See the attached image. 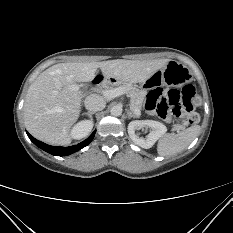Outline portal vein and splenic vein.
<instances>
[{
	"label": "portal vein and splenic vein",
	"instance_id": "obj_1",
	"mask_svg": "<svg viewBox=\"0 0 233 233\" xmlns=\"http://www.w3.org/2000/svg\"><path fill=\"white\" fill-rule=\"evenodd\" d=\"M100 92L103 94L104 97L108 99H113L125 94V90L121 87H117L113 89H101ZM131 109L137 116H140L141 114L140 110L134 108L132 104H131Z\"/></svg>",
	"mask_w": 233,
	"mask_h": 233
}]
</instances>
